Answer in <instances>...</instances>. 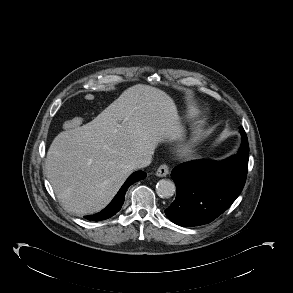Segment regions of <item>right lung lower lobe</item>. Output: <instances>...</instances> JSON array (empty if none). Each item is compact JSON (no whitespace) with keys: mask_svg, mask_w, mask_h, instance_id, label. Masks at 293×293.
<instances>
[{"mask_svg":"<svg viewBox=\"0 0 293 293\" xmlns=\"http://www.w3.org/2000/svg\"><path fill=\"white\" fill-rule=\"evenodd\" d=\"M145 177H146V173L143 171L134 172L126 180V182L123 184V186L121 187L119 192L116 194L114 199L105 209H103L101 212L97 214L86 216L85 218L87 220L100 221V220L108 219L112 217L113 215H115L121 209V206L124 203V195H125V191H127V188L134 182L144 179Z\"/></svg>","mask_w":293,"mask_h":293,"instance_id":"right-lung-lower-lobe-1","label":"right lung lower lobe"}]
</instances>
